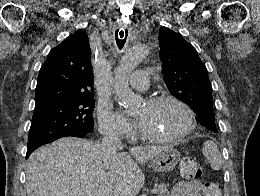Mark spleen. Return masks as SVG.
<instances>
[{"instance_id":"obj_1","label":"spleen","mask_w":260,"mask_h":196,"mask_svg":"<svg viewBox=\"0 0 260 196\" xmlns=\"http://www.w3.org/2000/svg\"><path fill=\"white\" fill-rule=\"evenodd\" d=\"M203 154L205 158H207L212 170H221L222 158L214 142H211V140H207V142H204Z\"/></svg>"}]
</instances>
